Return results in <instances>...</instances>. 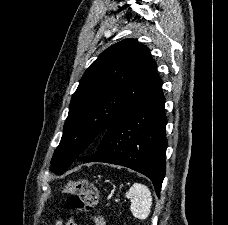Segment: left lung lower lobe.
I'll return each mask as SVG.
<instances>
[{
    "label": "left lung lower lobe",
    "instance_id": "left-lung-lower-lobe-1",
    "mask_svg": "<svg viewBox=\"0 0 228 225\" xmlns=\"http://www.w3.org/2000/svg\"><path fill=\"white\" fill-rule=\"evenodd\" d=\"M162 81L105 131L98 150L84 163L105 162L133 169L153 182L157 195L165 177L167 139Z\"/></svg>",
    "mask_w": 228,
    "mask_h": 225
}]
</instances>
